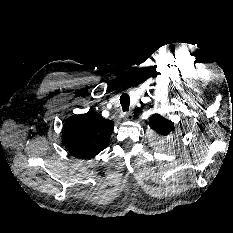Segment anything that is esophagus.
Segmentation results:
<instances>
[{
	"mask_svg": "<svg viewBox=\"0 0 233 233\" xmlns=\"http://www.w3.org/2000/svg\"><path fill=\"white\" fill-rule=\"evenodd\" d=\"M125 120H132L133 114L131 112L124 113L123 115Z\"/></svg>",
	"mask_w": 233,
	"mask_h": 233,
	"instance_id": "obj_1",
	"label": "esophagus"
}]
</instances>
